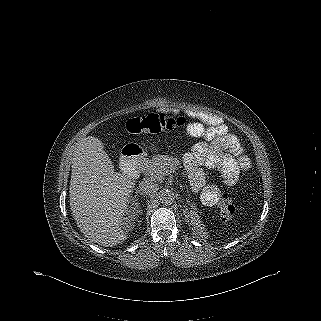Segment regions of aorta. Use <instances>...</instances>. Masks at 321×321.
<instances>
[{
	"instance_id": "aorta-1",
	"label": "aorta",
	"mask_w": 321,
	"mask_h": 321,
	"mask_svg": "<svg viewBox=\"0 0 321 321\" xmlns=\"http://www.w3.org/2000/svg\"><path fill=\"white\" fill-rule=\"evenodd\" d=\"M159 199L163 205H171L175 200V194L170 190H164L160 193Z\"/></svg>"
}]
</instances>
